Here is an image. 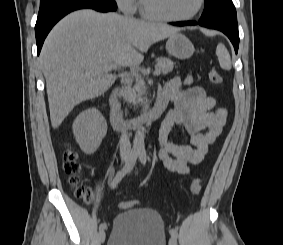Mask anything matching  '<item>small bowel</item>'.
<instances>
[{
  "mask_svg": "<svg viewBox=\"0 0 283 245\" xmlns=\"http://www.w3.org/2000/svg\"><path fill=\"white\" fill-rule=\"evenodd\" d=\"M182 84L188 86L181 88ZM174 103L159 130L158 157L173 172L188 174L192 165L201 163L209 146L222 134L227 110L217 106L216 99L200 86L192 85V78L174 76L161 90ZM183 127L190 136V144L175 142L176 127Z\"/></svg>",
  "mask_w": 283,
  "mask_h": 245,
  "instance_id": "c3829d8e",
  "label": "small bowel"
}]
</instances>
